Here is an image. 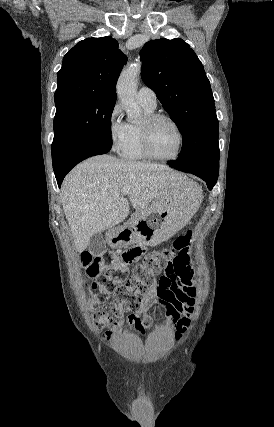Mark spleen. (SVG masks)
<instances>
[{
  "label": "spleen",
  "instance_id": "spleen-1",
  "mask_svg": "<svg viewBox=\"0 0 274 427\" xmlns=\"http://www.w3.org/2000/svg\"><path fill=\"white\" fill-rule=\"evenodd\" d=\"M196 186H197V184H196ZM198 188H199V186H198ZM199 190H200V188H199ZM197 196H199V204H200L201 198H202V196H201V190H200V192H198Z\"/></svg>",
  "mask_w": 274,
  "mask_h": 427
}]
</instances>
